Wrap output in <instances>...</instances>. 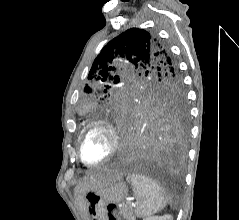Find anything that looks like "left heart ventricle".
<instances>
[{
  "label": "left heart ventricle",
  "mask_w": 239,
  "mask_h": 220,
  "mask_svg": "<svg viewBox=\"0 0 239 220\" xmlns=\"http://www.w3.org/2000/svg\"><path fill=\"white\" fill-rule=\"evenodd\" d=\"M111 139L107 130L96 127L89 131L83 139L82 155L88 162H96L107 155Z\"/></svg>",
  "instance_id": "1"
}]
</instances>
